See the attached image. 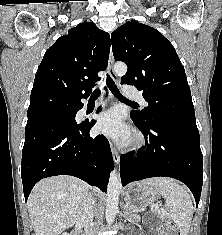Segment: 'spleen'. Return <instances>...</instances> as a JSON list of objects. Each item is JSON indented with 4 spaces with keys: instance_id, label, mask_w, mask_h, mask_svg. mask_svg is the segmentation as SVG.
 I'll return each mask as SVG.
<instances>
[{
    "instance_id": "3e777b00",
    "label": "spleen",
    "mask_w": 222,
    "mask_h": 235,
    "mask_svg": "<svg viewBox=\"0 0 222 235\" xmlns=\"http://www.w3.org/2000/svg\"><path fill=\"white\" fill-rule=\"evenodd\" d=\"M140 186L155 188L166 199L167 214L176 223L180 235H188L193 217V204L186 190L172 178H149Z\"/></svg>"
}]
</instances>
